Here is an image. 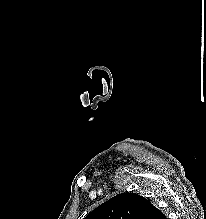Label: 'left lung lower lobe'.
<instances>
[{
  "mask_svg": "<svg viewBox=\"0 0 206 219\" xmlns=\"http://www.w3.org/2000/svg\"><path fill=\"white\" fill-rule=\"evenodd\" d=\"M151 219H167L166 216L156 207L153 209V215Z\"/></svg>",
  "mask_w": 206,
  "mask_h": 219,
  "instance_id": "0a47b994",
  "label": "left lung lower lobe"
}]
</instances>
